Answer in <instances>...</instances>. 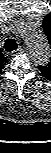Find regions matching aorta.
Instances as JSON below:
<instances>
[{
    "label": "aorta",
    "mask_w": 51,
    "mask_h": 153,
    "mask_svg": "<svg viewBox=\"0 0 51 153\" xmlns=\"http://www.w3.org/2000/svg\"><path fill=\"white\" fill-rule=\"evenodd\" d=\"M18 35L23 40L35 62L46 64L49 61V45L43 32L35 29L29 30L26 25H24L23 28L18 31Z\"/></svg>",
    "instance_id": "aorta-1"
}]
</instances>
